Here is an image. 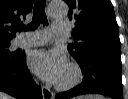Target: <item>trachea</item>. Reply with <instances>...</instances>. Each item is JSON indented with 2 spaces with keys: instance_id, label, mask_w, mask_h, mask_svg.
<instances>
[{
  "instance_id": "3493384b",
  "label": "trachea",
  "mask_w": 128,
  "mask_h": 99,
  "mask_svg": "<svg viewBox=\"0 0 128 99\" xmlns=\"http://www.w3.org/2000/svg\"><path fill=\"white\" fill-rule=\"evenodd\" d=\"M45 0H36L34 3V12L32 22L27 26H19L18 31H33L35 30L40 23L47 25V17L45 14Z\"/></svg>"
}]
</instances>
